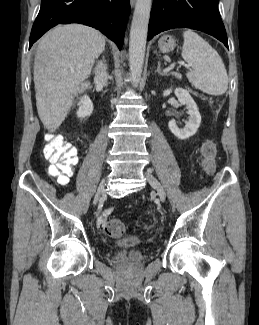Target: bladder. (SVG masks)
<instances>
[{
    "label": "bladder",
    "instance_id": "31cf9c89",
    "mask_svg": "<svg viewBox=\"0 0 259 325\" xmlns=\"http://www.w3.org/2000/svg\"><path fill=\"white\" fill-rule=\"evenodd\" d=\"M144 245V242L137 237H125L115 242V246L119 248H137Z\"/></svg>",
    "mask_w": 259,
    "mask_h": 325
}]
</instances>
